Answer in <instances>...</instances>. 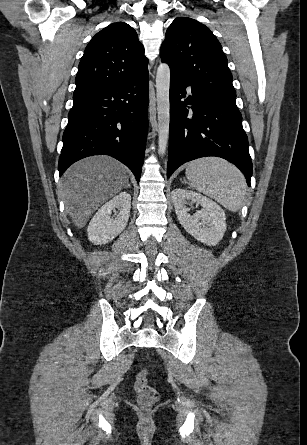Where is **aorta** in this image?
Segmentation results:
<instances>
[{"label":"aorta","instance_id":"1","mask_svg":"<svg viewBox=\"0 0 307 445\" xmlns=\"http://www.w3.org/2000/svg\"><path fill=\"white\" fill-rule=\"evenodd\" d=\"M170 68L165 62H161L156 74V94L158 110V152L164 154L168 142L170 122Z\"/></svg>","mask_w":307,"mask_h":445}]
</instances>
